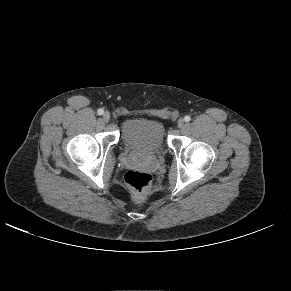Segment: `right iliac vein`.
Wrapping results in <instances>:
<instances>
[{"mask_svg": "<svg viewBox=\"0 0 291 291\" xmlns=\"http://www.w3.org/2000/svg\"><path fill=\"white\" fill-rule=\"evenodd\" d=\"M109 120H110V114H109V112H105L104 114H103V121L104 122H109Z\"/></svg>", "mask_w": 291, "mask_h": 291, "instance_id": "obj_1", "label": "right iliac vein"}]
</instances>
